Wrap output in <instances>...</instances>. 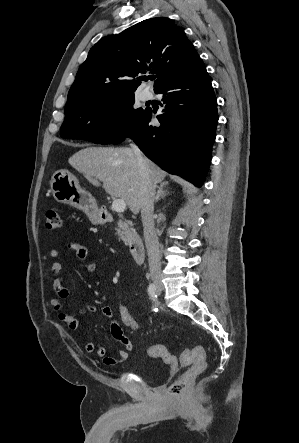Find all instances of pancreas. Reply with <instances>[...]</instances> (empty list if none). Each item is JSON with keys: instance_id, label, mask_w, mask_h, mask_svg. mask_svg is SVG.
I'll return each mask as SVG.
<instances>
[{"instance_id": "cf45deb5", "label": "pancreas", "mask_w": 299, "mask_h": 443, "mask_svg": "<svg viewBox=\"0 0 299 443\" xmlns=\"http://www.w3.org/2000/svg\"><path fill=\"white\" fill-rule=\"evenodd\" d=\"M116 234L125 244H128L132 238L137 236L133 223L127 220L123 221L122 219L117 223Z\"/></svg>"}]
</instances>
